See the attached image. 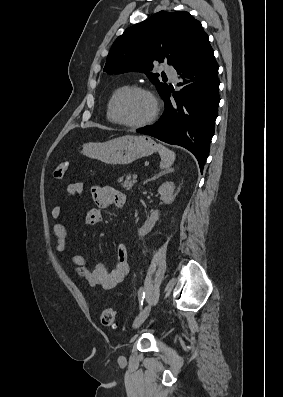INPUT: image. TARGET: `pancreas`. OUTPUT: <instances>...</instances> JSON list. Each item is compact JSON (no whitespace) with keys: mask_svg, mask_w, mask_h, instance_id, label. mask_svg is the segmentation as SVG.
<instances>
[{"mask_svg":"<svg viewBox=\"0 0 283 397\" xmlns=\"http://www.w3.org/2000/svg\"><path fill=\"white\" fill-rule=\"evenodd\" d=\"M118 182L121 184V186L126 189V190H131L132 187L134 186V184L136 183L135 179H132L130 176H126V178L124 179V177H120L118 179Z\"/></svg>","mask_w":283,"mask_h":397,"instance_id":"obj_1","label":"pancreas"}]
</instances>
